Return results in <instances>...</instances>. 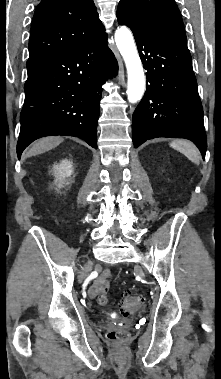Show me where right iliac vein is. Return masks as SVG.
<instances>
[{
	"mask_svg": "<svg viewBox=\"0 0 221 379\" xmlns=\"http://www.w3.org/2000/svg\"><path fill=\"white\" fill-rule=\"evenodd\" d=\"M89 270H90V267H89V266H87V267L84 269V271H83V272L81 273V275H80V279H81V280L84 279V278L87 276Z\"/></svg>",
	"mask_w": 221,
	"mask_h": 379,
	"instance_id": "63e3f726",
	"label": "right iliac vein"
}]
</instances>
